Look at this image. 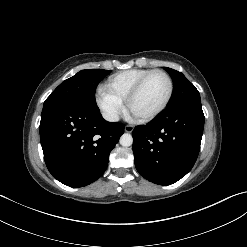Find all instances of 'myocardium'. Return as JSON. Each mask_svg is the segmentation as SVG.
<instances>
[{
    "label": "myocardium",
    "instance_id": "f54148a6",
    "mask_svg": "<svg viewBox=\"0 0 247 247\" xmlns=\"http://www.w3.org/2000/svg\"><path fill=\"white\" fill-rule=\"evenodd\" d=\"M154 74H161V75L165 76L167 81H168V84H169V89H168V93H167V96H166L164 102L156 110H154L153 112H151L147 115H144V116H136V118L142 122L150 121V120L156 118L160 113H162L166 109L168 104L170 103L171 98L173 96L174 83H173L171 76L166 71L161 70V69L151 70L149 73H147L145 76H143L136 83V85L133 87V89L128 94L126 101H125L127 110L131 112V104H132L133 100L138 96V94L142 90L143 86L145 85L146 81Z\"/></svg>",
    "mask_w": 247,
    "mask_h": 247
}]
</instances>
